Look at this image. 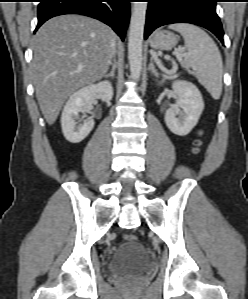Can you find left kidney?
Listing matches in <instances>:
<instances>
[{
    "label": "left kidney",
    "mask_w": 248,
    "mask_h": 299,
    "mask_svg": "<svg viewBox=\"0 0 248 299\" xmlns=\"http://www.w3.org/2000/svg\"><path fill=\"white\" fill-rule=\"evenodd\" d=\"M172 88L178 99L175 105L167 109L165 122L172 133L186 136L200 118L204 109L203 98L198 88L188 81H176ZM180 109L183 112L179 115Z\"/></svg>",
    "instance_id": "obj_1"
}]
</instances>
